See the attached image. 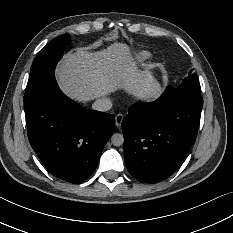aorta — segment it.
<instances>
[{
    "label": "aorta",
    "instance_id": "762f6f07",
    "mask_svg": "<svg viewBox=\"0 0 233 233\" xmlns=\"http://www.w3.org/2000/svg\"><path fill=\"white\" fill-rule=\"evenodd\" d=\"M124 142V138H123V135L121 134H113L111 136V143L112 145L114 146H121Z\"/></svg>",
    "mask_w": 233,
    "mask_h": 233
}]
</instances>
